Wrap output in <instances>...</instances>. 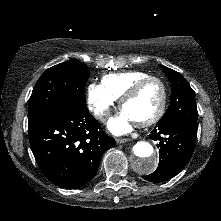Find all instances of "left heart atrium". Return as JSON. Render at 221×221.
Wrapping results in <instances>:
<instances>
[{
	"label": "left heart atrium",
	"mask_w": 221,
	"mask_h": 221,
	"mask_svg": "<svg viewBox=\"0 0 221 221\" xmlns=\"http://www.w3.org/2000/svg\"><path fill=\"white\" fill-rule=\"evenodd\" d=\"M133 120L124 112L110 119L108 129L115 135H121L132 129Z\"/></svg>",
	"instance_id": "39dd6f15"
}]
</instances>
